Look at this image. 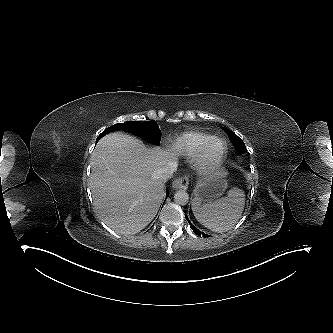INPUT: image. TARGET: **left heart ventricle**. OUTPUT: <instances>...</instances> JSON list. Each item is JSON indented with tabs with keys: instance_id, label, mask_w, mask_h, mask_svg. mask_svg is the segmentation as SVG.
<instances>
[{
	"instance_id": "b2bd125f",
	"label": "left heart ventricle",
	"mask_w": 333,
	"mask_h": 333,
	"mask_svg": "<svg viewBox=\"0 0 333 333\" xmlns=\"http://www.w3.org/2000/svg\"><path fill=\"white\" fill-rule=\"evenodd\" d=\"M222 150L221 142H214L209 148L208 154L210 157H216Z\"/></svg>"
}]
</instances>
